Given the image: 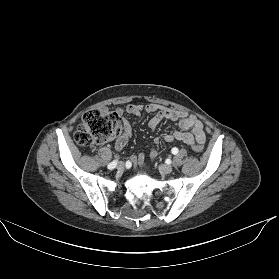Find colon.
Instances as JSON below:
<instances>
[{"label": "colon", "mask_w": 279, "mask_h": 279, "mask_svg": "<svg viewBox=\"0 0 279 279\" xmlns=\"http://www.w3.org/2000/svg\"><path fill=\"white\" fill-rule=\"evenodd\" d=\"M123 131L122 119L117 111L92 109L85 112L75 133L78 144L92 147L113 140ZM196 152H203V145L193 144Z\"/></svg>", "instance_id": "1"}]
</instances>
